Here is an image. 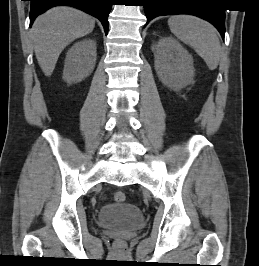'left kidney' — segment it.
<instances>
[{
  "mask_svg": "<svg viewBox=\"0 0 259 266\" xmlns=\"http://www.w3.org/2000/svg\"><path fill=\"white\" fill-rule=\"evenodd\" d=\"M154 56L155 70L164 85L178 91L193 82V57L175 38L161 37Z\"/></svg>",
  "mask_w": 259,
  "mask_h": 266,
  "instance_id": "left-kidney-1",
  "label": "left kidney"
}]
</instances>
